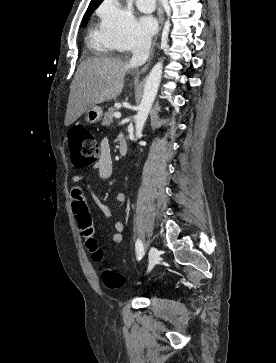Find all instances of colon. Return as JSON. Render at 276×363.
I'll list each match as a JSON object with an SVG mask.
<instances>
[{
    "label": "colon",
    "instance_id": "obj_1",
    "mask_svg": "<svg viewBox=\"0 0 276 363\" xmlns=\"http://www.w3.org/2000/svg\"><path fill=\"white\" fill-rule=\"evenodd\" d=\"M68 143L71 152L72 161L75 166L85 168L99 159V144L94 135L86 128L76 127L68 133ZM79 227L89 228L90 220L87 214L79 217ZM86 246L91 252L94 261L103 259V251L98 247L95 236L89 233L86 239ZM104 285L109 289H119L125 284V277L120 272L107 268L102 272Z\"/></svg>",
    "mask_w": 276,
    "mask_h": 363
}]
</instances>
